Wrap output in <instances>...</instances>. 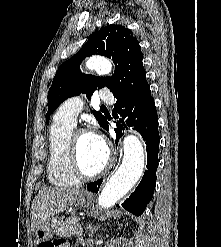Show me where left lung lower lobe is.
<instances>
[{"instance_id":"left-lung-lower-lobe-1","label":"left lung lower lobe","mask_w":221,"mask_h":247,"mask_svg":"<svg viewBox=\"0 0 221 247\" xmlns=\"http://www.w3.org/2000/svg\"><path fill=\"white\" fill-rule=\"evenodd\" d=\"M112 115L117 124V128L114 129L117 135L116 143L122 135V131L130 128L138 131L146 143L148 170L145 171L143 179L135 191L121 204L127 211L140 216L153 197L158 167L160 137L158 117L151 91L126 100H117ZM103 128L108 131L107 120ZM101 183L102 179L91 182L87 188L92 192H98Z\"/></svg>"}]
</instances>
